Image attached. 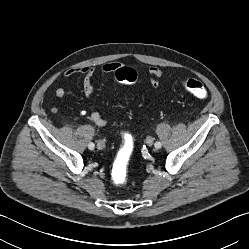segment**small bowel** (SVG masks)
<instances>
[{"instance_id": "obj_1", "label": "small bowel", "mask_w": 249, "mask_h": 249, "mask_svg": "<svg viewBox=\"0 0 249 249\" xmlns=\"http://www.w3.org/2000/svg\"><path fill=\"white\" fill-rule=\"evenodd\" d=\"M119 68H121V63L119 62H110L105 64L102 67V72L105 74H114ZM95 69L91 66H81L76 68H71L65 71L64 75L66 77H72L76 74H80L83 77L82 86L84 94L87 98H91L94 94V88L92 85V78L94 75ZM165 75V72L156 66L150 67L149 69V79L153 89H159L160 83L159 80ZM168 78H172L171 73H167ZM66 90L63 87H58L55 90V95L57 98L61 99L65 96ZM53 112H56V108L52 109ZM89 119L98 127H105L108 125L109 121L103 117L93 105L89 106Z\"/></svg>"}]
</instances>
